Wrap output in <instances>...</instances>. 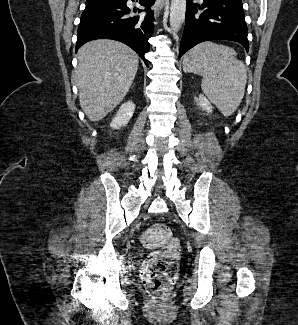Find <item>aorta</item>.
<instances>
[{
	"mask_svg": "<svg viewBox=\"0 0 298 325\" xmlns=\"http://www.w3.org/2000/svg\"><path fill=\"white\" fill-rule=\"evenodd\" d=\"M186 6L187 0H171L169 22L173 32L180 30V26L185 20Z\"/></svg>",
	"mask_w": 298,
	"mask_h": 325,
	"instance_id": "762f6f07",
	"label": "aorta"
}]
</instances>
